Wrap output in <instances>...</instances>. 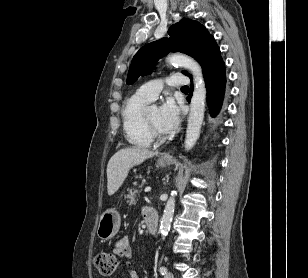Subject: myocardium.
Returning a JSON list of instances; mask_svg holds the SVG:
<instances>
[{"label":"myocardium","instance_id":"f54148a6","mask_svg":"<svg viewBox=\"0 0 308 278\" xmlns=\"http://www.w3.org/2000/svg\"><path fill=\"white\" fill-rule=\"evenodd\" d=\"M143 120H144L146 128L148 129V131L152 135V137L160 138L161 132L156 127H154V125L150 122V120L147 116V111H144Z\"/></svg>","mask_w":308,"mask_h":278}]
</instances>
